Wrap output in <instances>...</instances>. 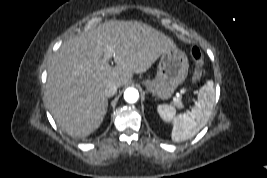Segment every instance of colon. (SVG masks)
Segmentation results:
<instances>
[{
  "instance_id": "1",
  "label": "colon",
  "mask_w": 267,
  "mask_h": 178,
  "mask_svg": "<svg viewBox=\"0 0 267 178\" xmlns=\"http://www.w3.org/2000/svg\"><path fill=\"white\" fill-rule=\"evenodd\" d=\"M190 56L195 64V70L193 73L194 80H199L203 74V62H204V56L202 51L198 47H193L190 50Z\"/></svg>"
}]
</instances>
